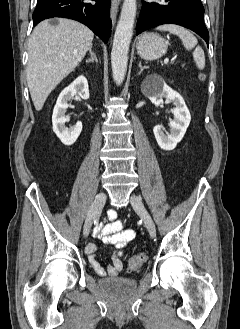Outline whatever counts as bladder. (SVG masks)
Returning <instances> with one entry per match:
<instances>
[{"mask_svg": "<svg viewBox=\"0 0 240 329\" xmlns=\"http://www.w3.org/2000/svg\"><path fill=\"white\" fill-rule=\"evenodd\" d=\"M99 284L104 291L117 298L129 295L136 288V282L133 279L123 276L104 278Z\"/></svg>", "mask_w": 240, "mask_h": 329, "instance_id": "1", "label": "bladder"}]
</instances>
